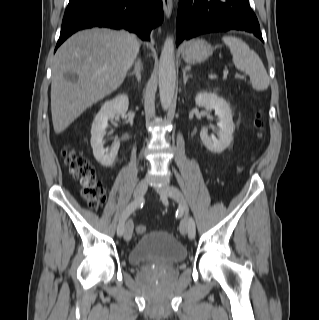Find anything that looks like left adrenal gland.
<instances>
[{"instance_id": "obj_1", "label": "left adrenal gland", "mask_w": 319, "mask_h": 320, "mask_svg": "<svg viewBox=\"0 0 319 320\" xmlns=\"http://www.w3.org/2000/svg\"><path fill=\"white\" fill-rule=\"evenodd\" d=\"M182 72H183V82H184V85H186V83L188 81V78L192 77V75L191 74H187V71L185 69H183Z\"/></svg>"}]
</instances>
